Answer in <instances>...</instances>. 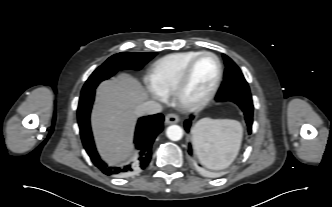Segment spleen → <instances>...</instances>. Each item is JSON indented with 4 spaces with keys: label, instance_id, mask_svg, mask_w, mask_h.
Instances as JSON below:
<instances>
[{
    "label": "spleen",
    "instance_id": "3e777b00",
    "mask_svg": "<svg viewBox=\"0 0 332 207\" xmlns=\"http://www.w3.org/2000/svg\"><path fill=\"white\" fill-rule=\"evenodd\" d=\"M192 140L203 165L213 170L225 169L239 152L242 126L236 120L204 118L193 127Z\"/></svg>",
    "mask_w": 332,
    "mask_h": 207
}]
</instances>
